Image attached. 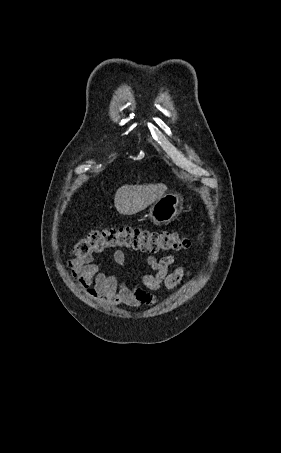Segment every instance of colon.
Segmentation results:
<instances>
[{"mask_svg":"<svg viewBox=\"0 0 281 453\" xmlns=\"http://www.w3.org/2000/svg\"><path fill=\"white\" fill-rule=\"evenodd\" d=\"M124 249L149 250L150 255L182 252L183 236L173 230H151L138 226H95L82 237L73 253L75 261L91 262Z\"/></svg>","mask_w":281,"mask_h":453,"instance_id":"5ec220e1","label":"colon"}]
</instances>
